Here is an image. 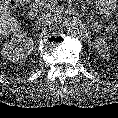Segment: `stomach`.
I'll list each match as a JSON object with an SVG mask.
<instances>
[{"label":"stomach","mask_w":118,"mask_h":118,"mask_svg":"<svg viewBox=\"0 0 118 118\" xmlns=\"http://www.w3.org/2000/svg\"><path fill=\"white\" fill-rule=\"evenodd\" d=\"M117 0H95L98 13L103 18L110 17L116 9Z\"/></svg>","instance_id":"stomach-1"}]
</instances>
